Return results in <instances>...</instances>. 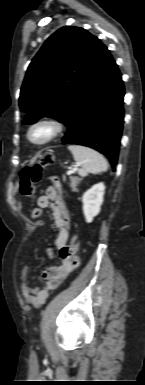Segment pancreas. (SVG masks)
Segmentation results:
<instances>
[{"label": "pancreas", "mask_w": 145, "mask_h": 385, "mask_svg": "<svg viewBox=\"0 0 145 385\" xmlns=\"http://www.w3.org/2000/svg\"><path fill=\"white\" fill-rule=\"evenodd\" d=\"M80 180H81V179L78 178V177H76V176H73V177L70 178V183H69V185H70V187H71V189H72L73 192H77V191H78V190H77V186H78Z\"/></svg>", "instance_id": "1"}]
</instances>
